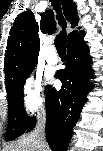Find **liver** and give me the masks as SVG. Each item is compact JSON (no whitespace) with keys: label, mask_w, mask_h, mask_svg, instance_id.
<instances>
[{"label":"liver","mask_w":103,"mask_h":151,"mask_svg":"<svg viewBox=\"0 0 103 151\" xmlns=\"http://www.w3.org/2000/svg\"><path fill=\"white\" fill-rule=\"evenodd\" d=\"M44 136L37 132L23 135L17 142L6 146L3 151H47Z\"/></svg>","instance_id":"obj_1"}]
</instances>
